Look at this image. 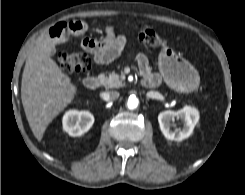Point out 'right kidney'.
<instances>
[{
  "label": "right kidney",
  "mask_w": 245,
  "mask_h": 195,
  "mask_svg": "<svg viewBox=\"0 0 245 195\" xmlns=\"http://www.w3.org/2000/svg\"><path fill=\"white\" fill-rule=\"evenodd\" d=\"M94 123V116L88 111L69 110L63 116V130L77 137L86 133Z\"/></svg>",
  "instance_id": "obj_1"
}]
</instances>
